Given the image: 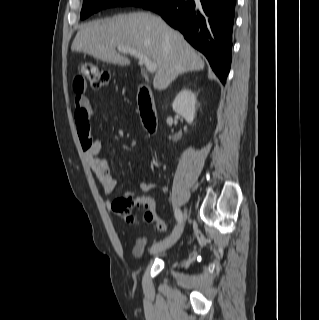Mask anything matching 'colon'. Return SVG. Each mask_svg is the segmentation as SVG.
<instances>
[{
    "label": "colon",
    "instance_id": "colon-1",
    "mask_svg": "<svg viewBox=\"0 0 319 320\" xmlns=\"http://www.w3.org/2000/svg\"><path fill=\"white\" fill-rule=\"evenodd\" d=\"M111 80V73L109 70L99 68L93 62H83L80 65L79 75L75 79V86L82 88L89 84L92 88L99 89L107 86ZM80 132L89 140L92 138L90 120L86 116L83 117ZM143 200L141 197H121L113 200L112 210L119 216H122L129 224L136 222V217L132 213V208L139 207ZM144 219L147 223H154L159 231H165L167 224L158 219L155 213L145 211Z\"/></svg>",
    "mask_w": 319,
    "mask_h": 320
}]
</instances>
